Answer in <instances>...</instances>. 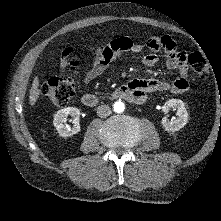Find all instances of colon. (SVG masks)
I'll return each mask as SVG.
<instances>
[{
	"instance_id": "colon-1",
	"label": "colon",
	"mask_w": 221,
	"mask_h": 221,
	"mask_svg": "<svg viewBox=\"0 0 221 221\" xmlns=\"http://www.w3.org/2000/svg\"><path fill=\"white\" fill-rule=\"evenodd\" d=\"M186 61L199 79L205 80L208 77L209 70L202 54H188ZM60 66L63 71L75 72L79 66L77 51L73 48L64 49L61 52ZM40 90L52 104L64 106L75 95L76 81L72 76L51 77L41 85Z\"/></svg>"
}]
</instances>
